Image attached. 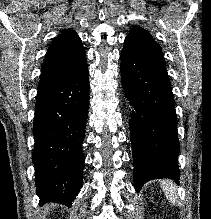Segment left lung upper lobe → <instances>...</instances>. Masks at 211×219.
Instances as JSON below:
<instances>
[{
    "label": "left lung upper lobe",
    "mask_w": 211,
    "mask_h": 219,
    "mask_svg": "<svg viewBox=\"0 0 211 219\" xmlns=\"http://www.w3.org/2000/svg\"><path fill=\"white\" fill-rule=\"evenodd\" d=\"M130 38H139L142 40L155 41L147 30L139 26L132 27L129 35Z\"/></svg>",
    "instance_id": "5c2ea615"
}]
</instances>
